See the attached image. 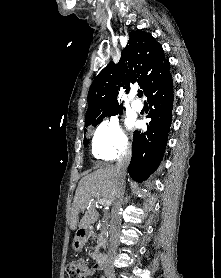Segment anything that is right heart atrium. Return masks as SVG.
I'll list each match as a JSON object with an SVG mask.
<instances>
[{"label":"right heart atrium","mask_w":221,"mask_h":278,"mask_svg":"<svg viewBox=\"0 0 221 278\" xmlns=\"http://www.w3.org/2000/svg\"><path fill=\"white\" fill-rule=\"evenodd\" d=\"M130 141L116 116L103 120L92 138V153L104 161L113 160L130 150Z\"/></svg>","instance_id":"d8ad5b80"}]
</instances>
